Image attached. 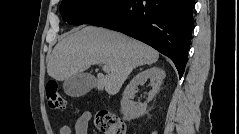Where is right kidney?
I'll use <instances>...</instances> for the list:
<instances>
[{
    "instance_id": "1",
    "label": "right kidney",
    "mask_w": 239,
    "mask_h": 134,
    "mask_svg": "<svg viewBox=\"0 0 239 134\" xmlns=\"http://www.w3.org/2000/svg\"><path fill=\"white\" fill-rule=\"evenodd\" d=\"M166 77L165 71L158 67H151L138 73L126 86L121 100V108L126 120L138 118L146 113L147 103L135 105L130 101L133 98L136 88L144 81L150 79L152 90L148 93V101L159 92L161 83Z\"/></svg>"
}]
</instances>
